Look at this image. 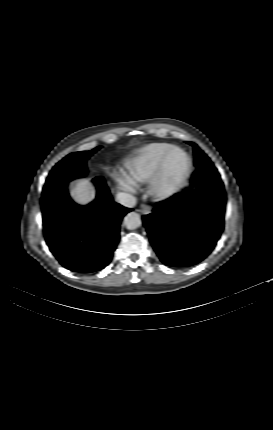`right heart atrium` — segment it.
Instances as JSON below:
<instances>
[{"label":"right heart atrium","instance_id":"1","mask_svg":"<svg viewBox=\"0 0 273 430\" xmlns=\"http://www.w3.org/2000/svg\"><path fill=\"white\" fill-rule=\"evenodd\" d=\"M117 181L119 186L124 190L132 191L134 189V184L124 174L119 175Z\"/></svg>","mask_w":273,"mask_h":430}]
</instances>
